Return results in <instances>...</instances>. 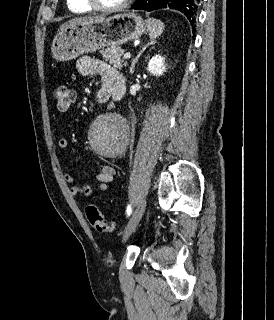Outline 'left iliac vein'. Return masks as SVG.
I'll list each match as a JSON object with an SVG mask.
<instances>
[{
	"mask_svg": "<svg viewBox=\"0 0 274 320\" xmlns=\"http://www.w3.org/2000/svg\"><path fill=\"white\" fill-rule=\"evenodd\" d=\"M145 208H146V201L141 200L138 203L136 209L133 211L132 216L130 217L129 222L124 230V233H123V240L124 241H126L128 239V237L132 234V232L137 227L140 219L143 216Z\"/></svg>",
	"mask_w": 274,
	"mask_h": 320,
	"instance_id": "obj_1",
	"label": "left iliac vein"
}]
</instances>
